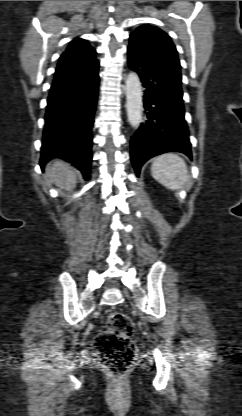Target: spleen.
Listing matches in <instances>:
<instances>
[{
  "mask_svg": "<svg viewBox=\"0 0 242 416\" xmlns=\"http://www.w3.org/2000/svg\"><path fill=\"white\" fill-rule=\"evenodd\" d=\"M151 174L155 180L171 190L180 189L189 178L184 160L174 153H165L154 158Z\"/></svg>",
  "mask_w": 242,
  "mask_h": 416,
  "instance_id": "3e777b00",
  "label": "spleen"
}]
</instances>
